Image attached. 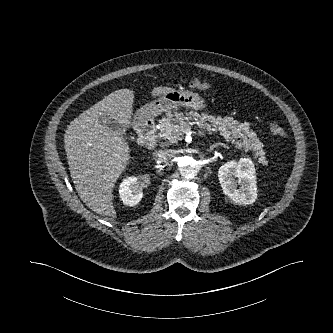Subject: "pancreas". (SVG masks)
<instances>
[{"label": "pancreas", "instance_id": "cf45deb5", "mask_svg": "<svg viewBox=\"0 0 333 333\" xmlns=\"http://www.w3.org/2000/svg\"><path fill=\"white\" fill-rule=\"evenodd\" d=\"M188 120H195L199 128L208 132H219L227 141L235 142L236 148L251 151L255 159L259 157V162L264 160V151L256 133L249 130L247 124L240 123L232 117L215 118L191 111L186 115L178 113L173 118V115L168 113L167 118L159 121L160 135L171 143L182 140V137L191 131V123L186 122Z\"/></svg>", "mask_w": 333, "mask_h": 333}]
</instances>
